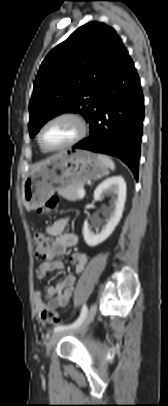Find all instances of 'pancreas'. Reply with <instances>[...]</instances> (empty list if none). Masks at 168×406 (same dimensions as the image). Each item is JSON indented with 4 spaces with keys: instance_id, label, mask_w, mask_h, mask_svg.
<instances>
[{
    "instance_id": "cf45deb5",
    "label": "pancreas",
    "mask_w": 168,
    "mask_h": 406,
    "mask_svg": "<svg viewBox=\"0 0 168 406\" xmlns=\"http://www.w3.org/2000/svg\"><path fill=\"white\" fill-rule=\"evenodd\" d=\"M83 186L84 185H82V184L71 186V187L60 190L59 194L67 200L76 201V200L81 199V197L78 195V191L80 189H83Z\"/></svg>"
}]
</instances>
